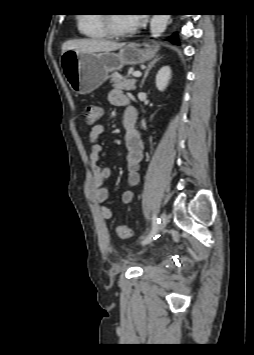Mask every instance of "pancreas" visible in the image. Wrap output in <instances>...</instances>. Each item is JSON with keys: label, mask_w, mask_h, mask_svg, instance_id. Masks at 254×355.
Returning a JSON list of instances; mask_svg holds the SVG:
<instances>
[{"label": "pancreas", "mask_w": 254, "mask_h": 355, "mask_svg": "<svg viewBox=\"0 0 254 355\" xmlns=\"http://www.w3.org/2000/svg\"><path fill=\"white\" fill-rule=\"evenodd\" d=\"M110 77H111V83H113V86L115 88L126 90V91H131L136 88L135 87L136 79H126L117 73L112 74Z\"/></svg>", "instance_id": "pancreas-1"}]
</instances>
